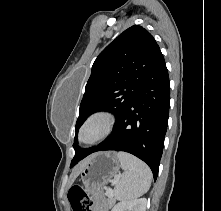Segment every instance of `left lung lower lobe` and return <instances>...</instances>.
Returning a JSON list of instances; mask_svg holds the SVG:
<instances>
[{"mask_svg":"<svg viewBox=\"0 0 221 211\" xmlns=\"http://www.w3.org/2000/svg\"><path fill=\"white\" fill-rule=\"evenodd\" d=\"M170 86L165 60L160 53L147 72L113 133L89 153L124 151L143 160L157 178L167 130Z\"/></svg>","mask_w":221,"mask_h":211,"instance_id":"0a47b994","label":"left lung lower lobe"}]
</instances>
